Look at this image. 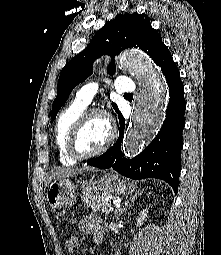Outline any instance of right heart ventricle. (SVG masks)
Masks as SVG:
<instances>
[{"label": "right heart ventricle", "instance_id": "e07e8e85", "mask_svg": "<svg viewBox=\"0 0 221 255\" xmlns=\"http://www.w3.org/2000/svg\"><path fill=\"white\" fill-rule=\"evenodd\" d=\"M86 107L72 103L59 115L54 128V141L58 153L59 161L64 166L76 164L67 152V139L71 128L79 117L83 114Z\"/></svg>", "mask_w": 221, "mask_h": 255}]
</instances>
